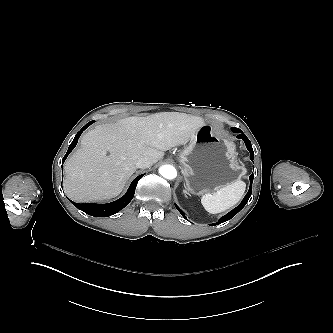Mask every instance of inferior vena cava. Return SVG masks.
Segmentation results:
<instances>
[{
  "instance_id": "inferior-vena-cava-1",
  "label": "inferior vena cava",
  "mask_w": 333,
  "mask_h": 333,
  "mask_svg": "<svg viewBox=\"0 0 333 333\" xmlns=\"http://www.w3.org/2000/svg\"><path fill=\"white\" fill-rule=\"evenodd\" d=\"M152 164L153 163H152L151 159H149L148 157H141L137 160L136 167L145 169V168L150 167Z\"/></svg>"
}]
</instances>
